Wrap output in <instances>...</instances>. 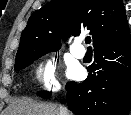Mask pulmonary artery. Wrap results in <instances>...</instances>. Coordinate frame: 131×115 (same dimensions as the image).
I'll return each instance as SVG.
<instances>
[{
  "instance_id": "e3ab8cb5",
  "label": "pulmonary artery",
  "mask_w": 131,
  "mask_h": 115,
  "mask_svg": "<svg viewBox=\"0 0 131 115\" xmlns=\"http://www.w3.org/2000/svg\"><path fill=\"white\" fill-rule=\"evenodd\" d=\"M70 52L73 56H75L78 59H81L85 55L84 48L80 45V41L74 42L70 47Z\"/></svg>"
}]
</instances>
